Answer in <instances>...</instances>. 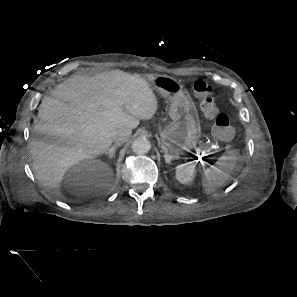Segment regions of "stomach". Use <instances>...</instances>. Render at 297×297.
<instances>
[{"label": "stomach", "mask_w": 297, "mask_h": 297, "mask_svg": "<svg viewBox=\"0 0 297 297\" xmlns=\"http://www.w3.org/2000/svg\"><path fill=\"white\" fill-rule=\"evenodd\" d=\"M150 84L171 103L169 116L172 122L159 133L163 149L176 155L190 152L199 143L201 126L188 91L180 81L164 75L152 77Z\"/></svg>", "instance_id": "obj_1"}]
</instances>
